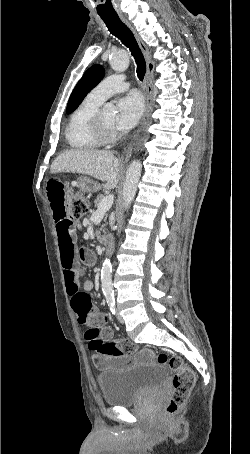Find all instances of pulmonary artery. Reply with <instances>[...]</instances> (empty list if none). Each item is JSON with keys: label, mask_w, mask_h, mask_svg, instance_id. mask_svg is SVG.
Listing matches in <instances>:
<instances>
[{"label": "pulmonary artery", "mask_w": 250, "mask_h": 454, "mask_svg": "<svg viewBox=\"0 0 250 454\" xmlns=\"http://www.w3.org/2000/svg\"><path fill=\"white\" fill-rule=\"evenodd\" d=\"M131 83L126 81L121 74L111 75L101 81L88 95L92 100L103 103L111 95L124 91L130 87Z\"/></svg>", "instance_id": "obj_1"}]
</instances>
